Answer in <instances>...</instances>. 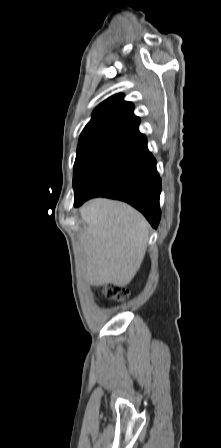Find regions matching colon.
<instances>
[{
    "label": "colon",
    "instance_id": "obj_1",
    "mask_svg": "<svg viewBox=\"0 0 221 448\" xmlns=\"http://www.w3.org/2000/svg\"><path fill=\"white\" fill-rule=\"evenodd\" d=\"M102 294L105 298L123 301L128 298L129 292L127 289L119 287L117 285L108 284L102 288Z\"/></svg>",
    "mask_w": 221,
    "mask_h": 448
}]
</instances>
